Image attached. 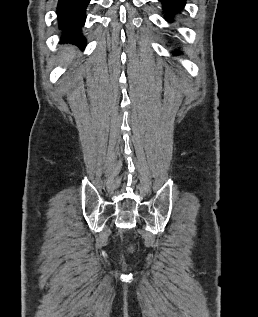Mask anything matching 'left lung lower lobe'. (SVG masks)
Masks as SVG:
<instances>
[{"label": "left lung lower lobe", "instance_id": "1", "mask_svg": "<svg viewBox=\"0 0 258 317\" xmlns=\"http://www.w3.org/2000/svg\"><path fill=\"white\" fill-rule=\"evenodd\" d=\"M162 3V7L164 10V13L167 15V19L170 22H173L172 17L175 15L180 14L185 6L186 0H158ZM174 53H177V51H174Z\"/></svg>", "mask_w": 258, "mask_h": 317}]
</instances>
